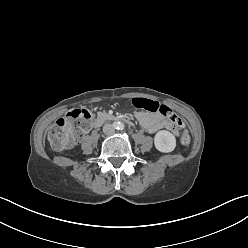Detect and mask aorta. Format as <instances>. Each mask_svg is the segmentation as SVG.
Masks as SVG:
<instances>
[{
  "mask_svg": "<svg viewBox=\"0 0 248 248\" xmlns=\"http://www.w3.org/2000/svg\"><path fill=\"white\" fill-rule=\"evenodd\" d=\"M114 126L118 130H122L124 128V124L122 122H116Z\"/></svg>",
  "mask_w": 248,
  "mask_h": 248,
  "instance_id": "1",
  "label": "aorta"
}]
</instances>
